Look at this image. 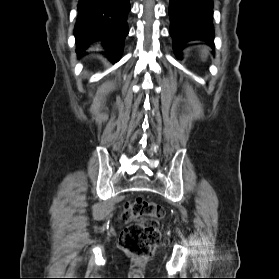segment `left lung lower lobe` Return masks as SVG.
<instances>
[{
    "label": "left lung lower lobe",
    "mask_w": 279,
    "mask_h": 279,
    "mask_svg": "<svg viewBox=\"0 0 279 279\" xmlns=\"http://www.w3.org/2000/svg\"><path fill=\"white\" fill-rule=\"evenodd\" d=\"M169 16L177 56L190 40H204L214 47L213 0H170Z\"/></svg>",
    "instance_id": "obj_1"
}]
</instances>
